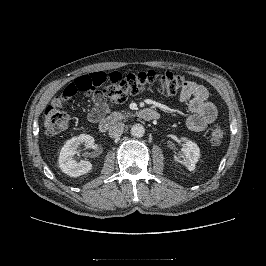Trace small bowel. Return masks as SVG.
Here are the masks:
<instances>
[{
  "label": "small bowel",
  "instance_id": "obj_1",
  "mask_svg": "<svg viewBox=\"0 0 266 266\" xmlns=\"http://www.w3.org/2000/svg\"><path fill=\"white\" fill-rule=\"evenodd\" d=\"M89 97L94 105L92 111L105 114L111 110L112 105L100 93L93 92ZM179 99L188 105L192 113L187 119V126L190 130L201 132L216 120L218 116L217 108L212 102L208 101V91L203 85L185 81ZM90 120L92 121L91 118Z\"/></svg>",
  "mask_w": 266,
  "mask_h": 266
}]
</instances>
